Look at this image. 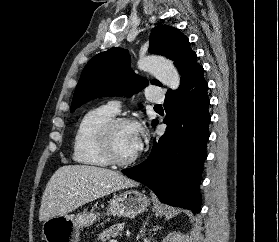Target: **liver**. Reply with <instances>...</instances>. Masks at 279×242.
<instances>
[{
    "label": "liver",
    "instance_id": "obj_1",
    "mask_svg": "<svg viewBox=\"0 0 279 242\" xmlns=\"http://www.w3.org/2000/svg\"><path fill=\"white\" fill-rule=\"evenodd\" d=\"M136 185V182L110 169L65 165L52 175L46 185L39 220L65 215L85 203Z\"/></svg>",
    "mask_w": 279,
    "mask_h": 242
}]
</instances>
